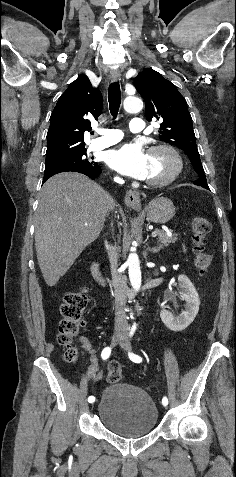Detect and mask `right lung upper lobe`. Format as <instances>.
<instances>
[{
    "label": "right lung upper lobe",
    "instance_id": "right-lung-upper-lobe-1",
    "mask_svg": "<svg viewBox=\"0 0 236 477\" xmlns=\"http://www.w3.org/2000/svg\"><path fill=\"white\" fill-rule=\"evenodd\" d=\"M103 98L93 88L88 77L79 76L58 100L50 117L45 162H52L85 149L84 132L90 131V121L98 120Z\"/></svg>",
    "mask_w": 236,
    "mask_h": 477
}]
</instances>
